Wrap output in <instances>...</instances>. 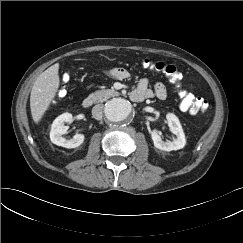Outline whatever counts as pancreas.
<instances>
[{"label":"pancreas","mask_w":243,"mask_h":243,"mask_svg":"<svg viewBox=\"0 0 243 243\" xmlns=\"http://www.w3.org/2000/svg\"><path fill=\"white\" fill-rule=\"evenodd\" d=\"M120 93L115 91L114 89H105L96 91L88 96L95 103L104 102L111 97L119 96Z\"/></svg>","instance_id":"cf45deb5"}]
</instances>
